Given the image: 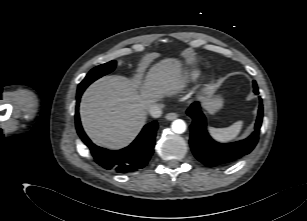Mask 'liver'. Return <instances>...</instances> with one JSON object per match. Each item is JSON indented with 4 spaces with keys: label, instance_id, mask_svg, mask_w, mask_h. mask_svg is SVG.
I'll list each match as a JSON object with an SVG mask.
<instances>
[{
    "label": "liver",
    "instance_id": "6515ba94",
    "mask_svg": "<svg viewBox=\"0 0 307 221\" xmlns=\"http://www.w3.org/2000/svg\"><path fill=\"white\" fill-rule=\"evenodd\" d=\"M184 86L181 62L175 58L154 64L140 82L118 75L102 77L81 98L82 126L96 145L109 149L125 147L145 125L149 107ZM215 90L214 85H207L200 97L207 110H212Z\"/></svg>",
    "mask_w": 307,
    "mask_h": 221
}]
</instances>
